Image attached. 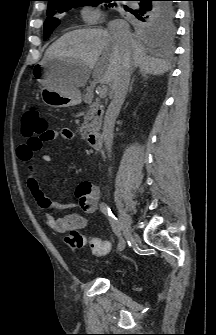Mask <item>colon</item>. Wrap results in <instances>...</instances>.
I'll list each match as a JSON object with an SVG mask.
<instances>
[{
    "instance_id": "obj_1",
    "label": "colon",
    "mask_w": 216,
    "mask_h": 335,
    "mask_svg": "<svg viewBox=\"0 0 216 335\" xmlns=\"http://www.w3.org/2000/svg\"><path fill=\"white\" fill-rule=\"evenodd\" d=\"M48 122L42 117L39 111L34 108H28L22 116V134L28 139V145L31 150L41 149L49 134ZM65 241L72 249H82L89 246L93 255H105L108 247L105 242L98 238H87L77 230H72L66 236Z\"/></svg>"
}]
</instances>
